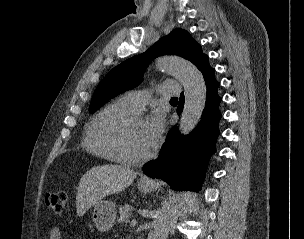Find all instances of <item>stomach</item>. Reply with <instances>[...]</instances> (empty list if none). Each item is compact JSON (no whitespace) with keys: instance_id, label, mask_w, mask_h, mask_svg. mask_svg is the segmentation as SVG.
Instances as JSON below:
<instances>
[{"instance_id":"stomach-1","label":"stomach","mask_w":304,"mask_h":239,"mask_svg":"<svg viewBox=\"0 0 304 239\" xmlns=\"http://www.w3.org/2000/svg\"><path fill=\"white\" fill-rule=\"evenodd\" d=\"M138 189L143 193H148L151 191V186L139 182ZM116 214L117 208L114 202L100 200L94 205L92 219L99 231L106 232L114 226Z\"/></svg>"}]
</instances>
